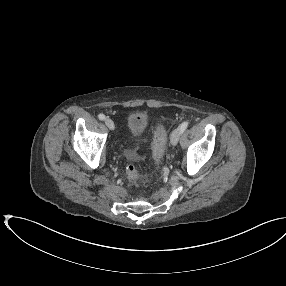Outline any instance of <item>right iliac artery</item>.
<instances>
[{
	"label": "right iliac artery",
	"mask_w": 286,
	"mask_h": 286,
	"mask_svg": "<svg viewBox=\"0 0 286 286\" xmlns=\"http://www.w3.org/2000/svg\"><path fill=\"white\" fill-rule=\"evenodd\" d=\"M98 118H99L100 120H104L106 117H105L104 114H99V115H98Z\"/></svg>",
	"instance_id": "right-iliac-artery-1"
}]
</instances>
